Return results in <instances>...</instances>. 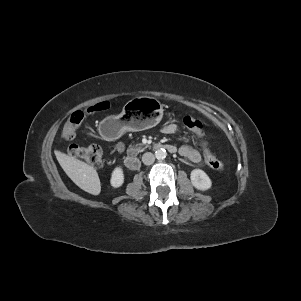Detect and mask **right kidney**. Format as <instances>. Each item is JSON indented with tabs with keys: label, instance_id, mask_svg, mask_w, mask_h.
I'll return each mask as SVG.
<instances>
[{
	"label": "right kidney",
	"instance_id": "1",
	"mask_svg": "<svg viewBox=\"0 0 301 301\" xmlns=\"http://www.w3.org/2000/svg\"><path fill=\"white\" fill-rule=\"evenodd\" d=\"M111 186L114 188L121 187L124 183V173L121 167H116L111 175L110 179Z\"/></svg>",
	"mask_w": 301,
	"mask_h": 301
}]
</instances>
